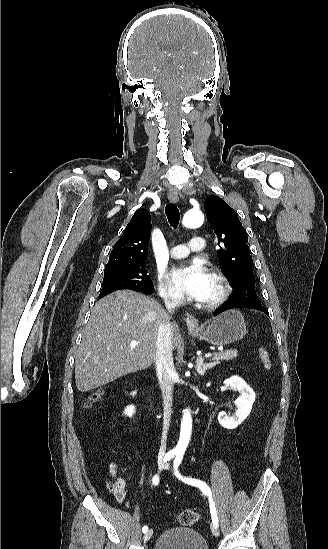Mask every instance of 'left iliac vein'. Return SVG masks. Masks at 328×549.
<instances>
[{
    "mask_svg": "<svg viewBox=\"0 0 328 549\" xmlns=\"http://www.w3.org/2000/svg\"><path fill=\"white\" fill-rule=\"evenodd\" d=\"M164 468H165L166 470H169V468H170V467H169V464H165V465H164ZM211 531H212V534H213L215 537H218L219 531H218V528H217L216 526L213 525Z\"/></svg>",
    "mask_w": 328,
    "mask_h": 549,
    "instance_id": "left-iliac-vein-1",
    "label": "left iliac vein"
}]
</instances>
